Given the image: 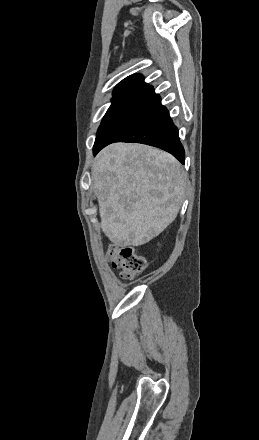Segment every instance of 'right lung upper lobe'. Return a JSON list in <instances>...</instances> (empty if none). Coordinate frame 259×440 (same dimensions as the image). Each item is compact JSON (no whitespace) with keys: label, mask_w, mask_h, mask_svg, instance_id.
<instances>
[{"label":"right lung upper lobe","mask_w":259,"mask_h":440,"mask_svg":"<svg viewBox=\"0 0 259 440\" xmlns=\"http://www.w3.org/2000/svg\"><path fill=\"white\" fill-rule=\"evenodd\" d=\"M153 89L144 82L140 74L131 75L122 80L114 89L113 95L117 94H147Z\"/></svg>","instance_id":"obj_1"}]
</instances>
